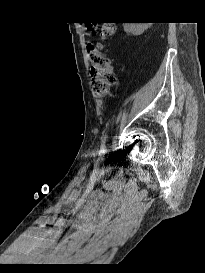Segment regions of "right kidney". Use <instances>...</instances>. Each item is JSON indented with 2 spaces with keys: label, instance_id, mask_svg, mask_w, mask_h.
Listing matches in <instances>:
<instances>
[{
  "label": "right kidney",
  "instance_id": "ca27d5eb",
  "mask_svg": "<svg viewBox=\"0 0 205 273\" xmlns=\"http://www.w3.org/2000/svg\"><path fill=\"white\" fill-rule=\"evenodd\" d=\"M140 24L142 23H124V30L133 34H141L147 29L148 25H151L150 23H145V26H141Z\"/></svg>",
  "mask_w": 205,
  "mask_h": 273
}]
</instances>
